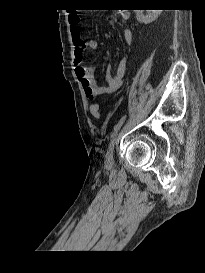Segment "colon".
<instances>
[{"instance_id":"5ec220e1","label":"colon","mask_w":205,"mask_h":273,"mask_svg":"<svg viewBox=\"0 0 205 273\" xmlns=\"http://www.w3.org/2000/svg\"><path fill=\"white\" fill-rule=\"evenodd\" d=\"M90 111H91V114L95 117V118H99L100 115H101V109H100V106L98 104H93L91 105L90 107Z\"/></svg>"}]
</instances>
